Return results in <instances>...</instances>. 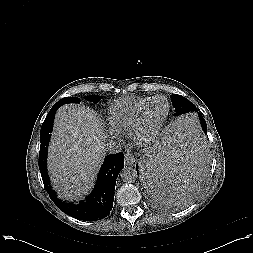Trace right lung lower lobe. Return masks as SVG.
Listing matches in <instances>:
<instances>
[{
	"label": "right lung lower lobe",
	"instance_id": "1",
	"mask_svg": "<svg viewBox=\"0 0 253 253\" xmlns=\"http://www.w3.org/2000/svg\"><path fill=\"white\" fill-rule=\"evenodd\" d=\"M59 107L60 105L55 104L49 111L42 124V127H45L46 130H52L55 113ZM49 140L41 142L39 169L44 186L52 201L64 213L79 220L95 221L101 220L109 215L113 207L116 179L119 172L124 168V154L119 152L117 154L107 155L99 171L95 187L90 195L78 204L73 202L66 203L59 200L56 193L51 189L46 163Z\"/></svg>",
	"mask_w": 253,
	"mask_h": 253
}]
</instances>
